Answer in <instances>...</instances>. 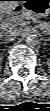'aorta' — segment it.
<instances>
[{"instance_id": "obj_1", "label": "aorta", "mask_w": 50, "mask_h": 111, "mask_svg": "<svg viewBox=\"0 0 50 111\" xmlns=\"http://www.w3.org/2000/svg\"><path fill=\"white\" fill-rule=\"evenodd\" d=\"M25 42L28 46L34 47L39 44V39H38L37 35H35V34H28L25 37Z\"/></svg>"}]
</instances>
